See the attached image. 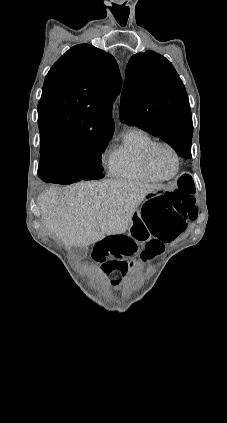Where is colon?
<instances>
[{"mask_svg": "<svg viewBox=\"0 0 227 423\" xmlns=\"http://www.w3.org/2000/svg\"><path fill=\"white\" fill-rule=\"evenodd\" d=\"M195 202L194 183L189 175H182L176 189L161 188L146 195L140 218L151 235L169 243L185 230L188 221L197 217ZM145 231L134 224L129 235H111L95 244L94 256L103 263V272L110 277L112 284H118L125 274V257L136 254L137 241L144 239ZM159 253L158 245L152 241L146 244L141 257L149 259Z\"/></svg>", "mask_w": 227, "mask_h": 423, "instance_id": "1", "label": "colon"}]
</instances>
